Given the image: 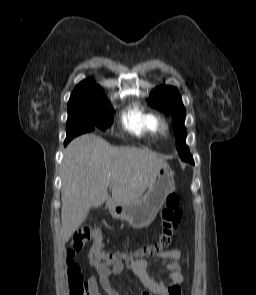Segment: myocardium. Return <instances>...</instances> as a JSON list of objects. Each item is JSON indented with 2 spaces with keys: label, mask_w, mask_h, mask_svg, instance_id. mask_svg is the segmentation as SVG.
<instances>
[{
  "label": "myocardium",
  "mask_w": 256,
  "mask_h": 295,
  "mask_svg": "<svg viewBox=\"0 0 256 295\" xmlns=\"http://www.w3.org/2000/svg\"><path fill=\"white\" fill-rule=\"evenodd\" d=\"M159 131L166 133L168 131V124L164 121L159 123Z\"/></svg>",
  "instance_id": "f54148a6"
}]
</instances>
